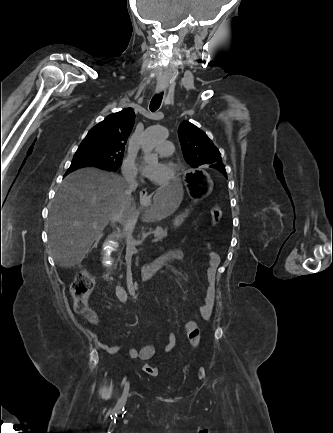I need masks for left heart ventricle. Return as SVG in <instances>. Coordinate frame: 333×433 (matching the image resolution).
Returning a JSON list of instances; mask_svg holds the SVG:
<instances>
[{
	"label": "left heart ventricle",
	"instance_id": "1",
	"mask_svg": "<svg viewBox=\"0 0 333 433\" xmlns=\"http://www.w3.org/2000/svg\"><path fill=\"white\" fill-rule=\"evenodd\" d=\"M161 157H162V155L156 151L151 153V158H152L154 163H158V158H161ZM159 164L162 165V180L161 181H164L169 175V168L164 163H159Z\"/></svg>",
	"mask_w": 333,
	"mask_h": 433
}]
</instances>
